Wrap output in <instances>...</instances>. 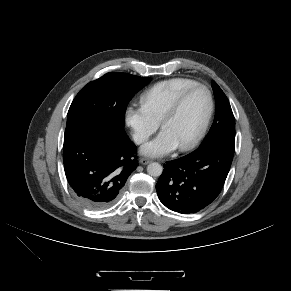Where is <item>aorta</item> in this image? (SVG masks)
<instances>
[{"label": "aorta", "mask_w": 291, "mask_h": 291, "mask_svg": "<svg viewBox=\"0 0 291 291\" xmlns=\"http://www.w3.org/2000/svg\"><path fill=\"white\" fill-rule=\"evenodd\" d=\"M162 171H163L162 166L157 162L150 163L147 166V172L150 176L158 177L162 174Z\"/></svg>", "instance_id": "aorta-1"}]
</instances>
